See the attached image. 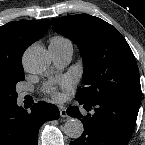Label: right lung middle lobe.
<instances>
[{"mask_svg": "<svg viewBox=\"0 0 145 145\" xmlns=\"http://www.w3.org/2000/svg\"><path fill=\"white\" fill-rule=\"evenodd\" d=\"M25 78L24 71H19L17 74L9 78L7 81L0 83V102L15 101L18 97L16 84L23 81Z\"/></svg>", "mask_w": 145, "mask_h": 145, "instance_id": "right-lung-middle-lobe-1", "label": "right lung middle lobe"}]
</instances>
